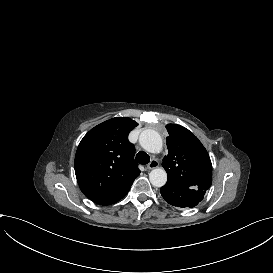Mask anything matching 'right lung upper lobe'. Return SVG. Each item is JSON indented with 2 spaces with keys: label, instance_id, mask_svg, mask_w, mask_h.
<instances>
[{
  "label": "right lung upper lobe",
  "instance_id": "right-lung-upper-lobe-1",
  "mask_svg": "<svg viewBox=\"0 0 273 273\" xmlns=\"http://www.w3.org/2000/svg\"><path fill=\"white\" fill-rule=\"evenodd\" d=\"M138 125L115 117L91 129L75 155V174L81 191L93 202L110 205L122 199L140 174L129 132Z\"/></svg>",
  "mask_w": 273,
  "mask_h": 273
}]
</instances>
